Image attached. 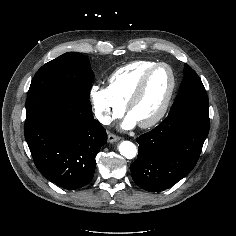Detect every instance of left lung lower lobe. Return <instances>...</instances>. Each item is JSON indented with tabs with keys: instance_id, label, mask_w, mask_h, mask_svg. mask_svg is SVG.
<instances>
[{
	"instance_id": "1",
	"label": "left lung lower lobe",
	"mask_w": 236,
	"mask_h": 236,
	"mask_svg": "<svg viewBox=\"0 0 236 236\" xmlns=\"http://www.w3.org/2000/svg\"><path fill=\"white\" fill-rule=\"evenodd\" d=\"M210 126L209 113L169 114L152 131L137 138V160L131 164L134 182L149 192L165 190L196 165Z\"/></svg>"
}]
</instances>
